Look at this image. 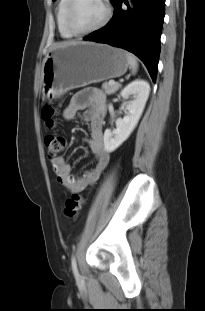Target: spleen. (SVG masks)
Returning a JSON list of instances; mask_svg holds the SVG:
<instances>
[{"instance_id": "obj_1", "label": "spleen", "mask_w": 205, "mask_h": 311, "mask_svg": "<svg viewBox=\"0 0 205 311\" xmlns=\"http://www.w3.org/2000/svg\"><path fill=\"white\" fill-rule=\"evenodd\" d=\"M126 57L130 67L132 68V72L135 73L138 68V62L136 57L131 53H126Z\"/></svg>"}]
</instances>
